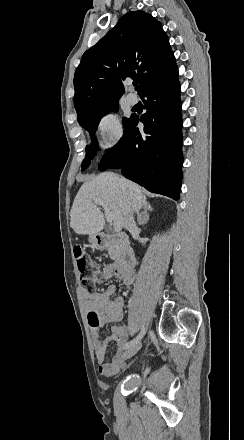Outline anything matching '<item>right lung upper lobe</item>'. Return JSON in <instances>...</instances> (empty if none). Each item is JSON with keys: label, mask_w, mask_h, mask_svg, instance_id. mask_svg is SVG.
<instances>
[{"label": "right lung upper lobe", "mask_w": 244, "mask_h": 440, "mask_svg": "<svg viewBox=\"0 0 244 440\" xmlns=\"http://www.w3.org/2000/svg\"><path fill=\"white\" fill-rule=\"evenodd\" d=\"M174 62L161 23L143 11L128 12L83 54L74 75L75 109L120 99L128 77L139 79V92L152 74Z\"/></svg>", "instance_id": "obj_1"}]
</instances>
